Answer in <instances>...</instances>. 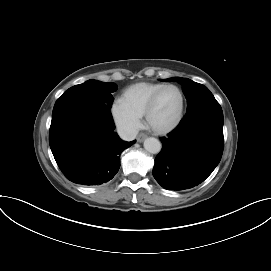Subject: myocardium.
<instances>
[{
    "mask_svg": "<svg viewBox=\"0 0 271 271\" xmlns=\"http://www.w3.org/2000/svg\"><path fill=\"white\" fill-rule=\"evenodd\" d=\"M169 88H173V89H175V90L178 91V93L180 95V100H181V102H180V109H179L177 117L175 118V120L171 124H169L168 126L163 127V128H158V127H155L151 123V115H152L153 110L156 107V104H157V102H158L161 94L165 90H167ZM184 111H185V96H184L183 91L177 85L167 84V85H164L163 87H161L159 90H157L153 94V96L150 98V100L148 101V103L146 105L145 111H144V118H145L146 124L155 133H157V134H167V133L171 132L172 130H174L180 124V122L182 121L183 116H184Z\"/></svg>",
    "mask_w": 271,
    "mask_h": 271,
    "instance_id": "myocardium-1",
    "label": "myocardium"
}]
</instances>
